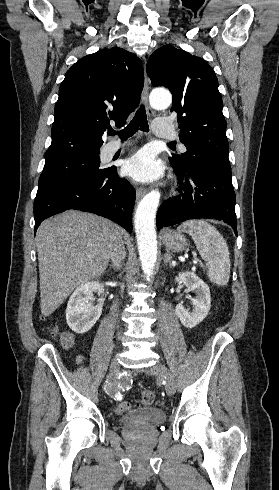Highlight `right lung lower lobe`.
<instances>
[{
	"label": "right lung lower lobe",
	"mask_w": 279,
	"mask_h": 490,
	"mask_svg": "<svg viewBox=\"0 0 279 490\" xmlns=\"http://www.w3.org/2000/svg\"><path fill=\"white\" fill-rule=\"evenodd\" d=\"M134 203L135 190L118 176L116 167L94 178L39 186L34 202V232L44 219L77 209L111 219L131 233Z\"/></svg>",
	"instance_id": "98d812e1"
}]
</instances>
